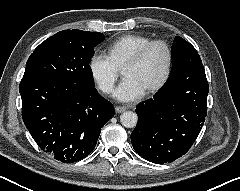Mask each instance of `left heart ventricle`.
<instances>
[{"label":"left heart ventricle","mask_w":240,"mask_h":191,"mask_svg":"<svg viewBox=\"0 0 240 191\" xmlns=\"http://www.w3.org/2000/svg\"><path fill=\"white\" fill-rule=\"evenodd\" d=\"M166 66V51L162 45L150 49L138 65L123 69L125 78H134L146 92L162 78Z\"/></svg>","instance_id":"b2bd125f"}]
</instances>
